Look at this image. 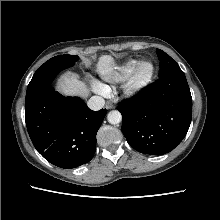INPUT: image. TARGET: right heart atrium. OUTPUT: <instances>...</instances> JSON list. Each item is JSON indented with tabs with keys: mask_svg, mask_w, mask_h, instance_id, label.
<instances>
[{
	"mask_svg": "<svg viewBox=\"0 0 220 220\" xmlns=\"http://www.w3.org/2000/svg\"><path fill=\"white\" fill-rule=\"evenodd\" d=\"M94 89H95V91L98 92V93H102V92H103L100 83H95V85H94Z\"/></svg>",
	"mask_w": 220,
	"mask_h": 220,
	"instance_id": "1",
	"label": "right heart atrium"
}]
</instances>
